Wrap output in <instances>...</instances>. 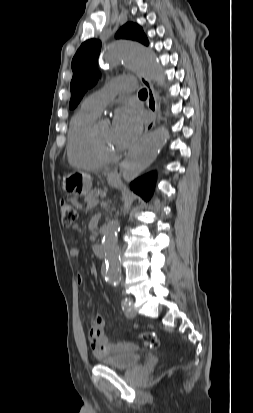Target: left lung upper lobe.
I'll return each instance as SVG.
<instances>
[{
    "label": "left lung upper lobe",
    "mask_w": 253,
    "mask_h": 413,
    "mask_svg": "<svg viewBox=\"0 0 253 413\" xmlns=\"http://www.w3.org/2000/svg\"><path fill=\"white\" fill-rule=\"evenodd\" d=\"M116 38L139 41L148 45V39L142 28L134 23H126L116 34ZM101 42L96 39L85 41L77 50L72 60L73 78L71 81V100L69 107L75 108L85 92L94 86L100 77L97 69Z\"/></svg>",
    "instance_id": "1"
}]
</instances>
